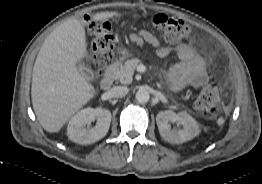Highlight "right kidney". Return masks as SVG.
<instances>
[{
  "instance_id": "ca27d5eb",
  "label": "right kidney",
  "mask_w": 262,
  "mask_h": 184,
  "mask_svg": "<svg viewBox=\"0 0 262 184\" xmlns=\"http://www.w3.org/2000/svg\"><path fill=\"white\" fill-rule=\"evenodd\" d=\"M96 120L94 127L89 124ZM111 113L107 109L85 108L75 114L68 123V138L78 144L88 145L102 139L108 132Z\"/></svg>"
}]
</instances>
